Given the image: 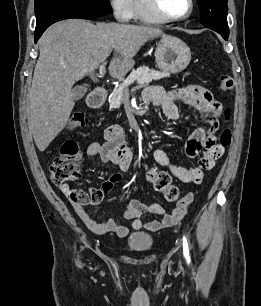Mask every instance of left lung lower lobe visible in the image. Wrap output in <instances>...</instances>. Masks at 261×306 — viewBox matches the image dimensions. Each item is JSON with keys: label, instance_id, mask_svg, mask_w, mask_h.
Segmentation results:
<instances>
[{"label": "left lung lower lobe", "instance_id": "obj_1", "mask_svg": "<svg viewBox=\"0 0 261 306\" xmlns=\"http://www.w3.org/2000/svg\"><path fill=\"white\" fill-rule=\"evenodd\" d=\"M214 31L219 33L225 40H228L229 32H221V31H217V30H214Z\"/></svg>", "mask_w": 261, "mask_h": 306}]
</instances>
